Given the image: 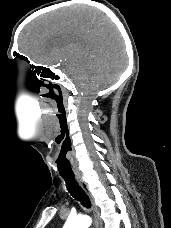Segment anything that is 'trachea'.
Returning a JSON list of instances; mask_svg holds the SVG:
<instances>
[{"label": "trachea", "instance_id": "3493384b", "mask_svg": "<svg viewBox=\"0 0 171 228\" xmlns=\"http://www.w3.org/2000/svg\"><path fill=\"white\" fill-rule=\"evenodd\" d=\"M65 180L66 187L68 192L77 200L79 201L84 207L90 208L91 203L90 199L84 190L80 187L77 183L74 176H62Z\"/></svg>", "mask_w": 171, "mask_h": 228}]
</instances>
